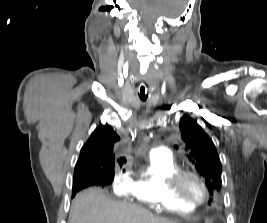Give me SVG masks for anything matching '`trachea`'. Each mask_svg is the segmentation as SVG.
<instances>
[{
	"label": "trachea",
	"instance_id": "3493384b",
	"mask_svg": "<svg viewBox=\"0 0 267 223\" xmlns=\"http://www.w3.org/2000/svg\"><path fill=\"white\" fill-rule=\"evenodd\" d=\"M146 84L144 82H140L138 86V96L141 101L145 102L148 98V93H146Z\"/></svg>",
	"mask_w": 267,
	"mask_h": 223
}]
</instances>
